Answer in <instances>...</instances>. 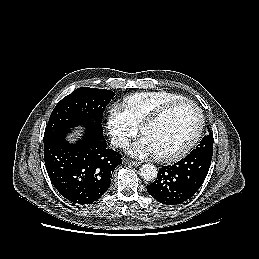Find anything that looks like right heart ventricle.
<instances>
[{"label":"right heart ventricle","instance_id":"1","mask_svg":"<svg viewBox=\"0 0 259 259\" xmlns=\"http://www.w3.org/2000/svg\"><path fill=\"white\" fill-rule=\"evenodd\" d=\"M181 99L186 98L167 91L139 92L126 96L124 98V105L133 123L139 126L147 117L162 106Z\"/></svg>","mask_w":259,"mask_h":259}]
</instances>
